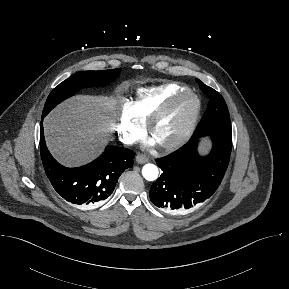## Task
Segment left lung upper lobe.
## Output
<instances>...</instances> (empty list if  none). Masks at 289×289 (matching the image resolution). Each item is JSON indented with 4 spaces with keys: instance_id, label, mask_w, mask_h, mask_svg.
<instances>
[{
    "instance_id": "5c2ea615",
    "label": "left lung upper lobe",
    "mask_w": 289,
    "mask_h": 289,
    "mask_svg": "<svg viewBox=\"0 0 289 289\" xmlns=\"http://www.w3.org/2000/svg\"><path fill=\"white\" fill-rule=\"evenodd\" d=\"M200 89L209 96V103L201 122L192 137L205 135H232L230 115L223 97L211 87L205 85L200 80Z\"/></svg>"
}]
</instances>
